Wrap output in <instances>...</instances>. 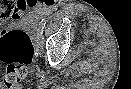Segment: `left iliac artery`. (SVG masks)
<instances>
[{
	"instance_id": "left-iliac-artery-1",
	"label": "left iliac artery",
	"mask_w": 131,
	"mask_h": 89,
	"mask_svg": "<svg viewBox=\"0 0 131 89\" xmlns=\"http://www.w3.org/2000/svg\"><path fill=\"white\" fill-rule=\"evenodd\" d=\"M45 24H46V22L44 21V19H42V21H41V23H40V25L42 26V29H43V27L45 26Z\"/></svg>"
}]
</instances>
